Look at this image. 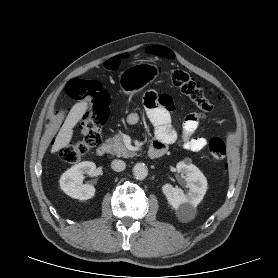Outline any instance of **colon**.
<instances>
[{
  "label": "colon",
  "mask_w": 278,
  "mask_h": 278,
  "mask_svg": "<svg viewBox=\"0 0 278 278\" xmlns=\"http://www.w3.org/2000/svg\"><path fill=\"white\" fill-rule=\"evenodd\" d=\"M120 59H112L106 63L108 69L118 68ZM173 86L190 97L202 112H209L213 104L206 90L186 71L173 69L170 72ZM68 97L83 100L91 97L92 110L84 118L81 136L60 151L61 158L68 163L81 160L93 147L101 141L100 130L107 117V95L98 82L86 79L71 80L65 90ZM211 157L221 162L226 157V145L220 138H212L208 143Z\"/></svg>",
  "instance_id": "1"
}]
</instances>
